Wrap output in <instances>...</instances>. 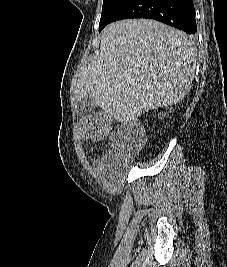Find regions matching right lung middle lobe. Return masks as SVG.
I'll return each mask as SVG.
<instances>
[{
    "instance_id": "right-lung-middle-lobe-1",
    "label": "right lung middle lobe",
    "mask_w": 227,
    "mask_h": 267,
    "mask_svg": "<svg viewBox=\"0 0 227 267\" xmlns=\"http://www.w3.org/2000/svg\"><path fill=\"white\" fill-rule=\"evenodd\" d=\"M126 1L127 0H103L99 31L109 24Z\"/></svg>"
}]
</instances>
